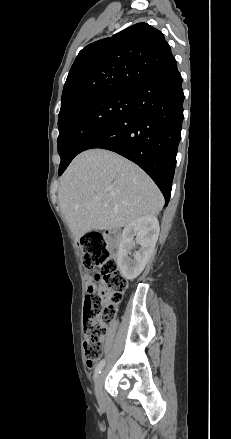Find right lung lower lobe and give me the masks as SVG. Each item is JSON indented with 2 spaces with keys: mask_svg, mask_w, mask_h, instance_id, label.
Wrapping results in <instances>:
<instances>
[{
  "mask_svg": "<svg viewBox=\"0 0 231 439\" xmlns=\"http://www.w3.org/2000/svg\"><path fill=\"white\" fill-rule=\"evenodd\" d=\"M181 85L182 77L176 63L138 88L133 93L132 109L94 134L79 153L102 148L133 161L154 180L167 205L184 118Z\"/></svg>",
  "mask_w": 231,
  "mask_h": 439,
  "instance_id": "right-lung-lower-lobe-1",
  "label": "right lung lower lobe"
}]
</instances>
